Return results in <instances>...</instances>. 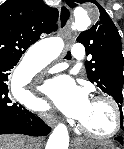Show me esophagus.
<instances>
[{
    "mask_svg": "<svg viewBox=\"0 0 124 149\" xmlns=\"http://www.w3.org/2000/svg\"><path fill=\"white\" fill-rule=\"evenodd\" d=\"M71 20H72V13L71 10L69 8V6L66 3H61L59 6V32L63 35H66L70 24H71ZM73 35L69 34L68 35V43H67V47H71V44L73 42ZM51 123L53 124V120H50Z\"/></svg>",
    "mask_w": 124,
    "mask_h": 149,
    "instance_id": "34e87169",
    "label": "esophagus"
}]
</instances>
